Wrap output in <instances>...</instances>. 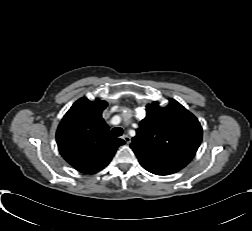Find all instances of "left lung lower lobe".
<instances>
[{"label":"left lung lower lobe","mask_w":252,"mask_h":231,"mask_svg":"<svg viewBox=\"0 0 252 231\" xmlns=\"http://www.w3.org/2000/svg\"><path fill=\"white\" fill-rule=\"evenodd\" d=\"M140 164L149 172L156 175H169L175 173L186 165L177 162H155V161H139Z\"/></svg>","instance_id":"left-lung-lower-lobe-1"}]
</instances>
